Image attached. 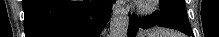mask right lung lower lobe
Masks as SVG:
<instances>
[{
	"label": "right lung lower lobe",
	"mask_w": 219,
	"mask_h": 37,
	"mask_svg": "<svg viewBox=\"0 0 219 37\" xmlns=\"http://www.w3.org/2000/svg\"><path fill=\"white\" fill-rule=\"evenodd\" d=\"M25 37H99L109 0H23Z\"/></svg>",
	"instance_id": "1"
}]
</instances>
